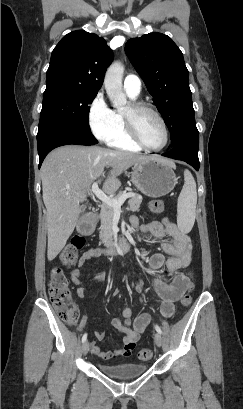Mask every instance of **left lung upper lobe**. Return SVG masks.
<instances>
[{
	"label": "left lung upper lobe",
	"instance_id": "obj_1",
	"mask_svg": "<svg viewBox=\"0 0 243 409\" xmlns=\"http://www.w3.org/2000/svg\"><path fill=\"white\" fill-rule=\"evenodd\" d=\"M125 52L153 96L174 144L184 124L194 119L189 72L182 52L161 33L129 39Z\"/></svg>",
	"mask_w": 243,
	"mask_h": 409
}]
</instances>
